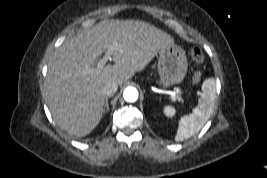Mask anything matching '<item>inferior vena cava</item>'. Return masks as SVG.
<instances>
[{"instance_id": "602c4592", "label": "inferior vena cava", "mask_w": 267, "mask_h": 178, "mask_svg": "<svg viewBox=\"0 0 267 178\" xmlns=\"http://www.w3.org/2000/svg\"><path fill=\"white\" fill-rule=\"evenodd\" d=\"M118 89V85L115 82H107L103 87V94L105 96H113Z\"/></svg>"}]
</instances>
